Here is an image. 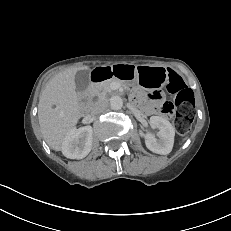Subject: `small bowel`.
I'll return each mask as SVG.
<instances>
[{
    "mask_svg": "<svg viewBox=\"0 0 231 231\" xmlns=\"http://www.w3.org/2000/svg\"><path fill=\"white\" fill-rule=\"evenodd\" d=\"M157 100L161 101V98L160 97H155Z\"/></svg>",
    "mask_w": 231,
    "mask_h": 231,
    "instance_id": "small-bowel-1",
    "label": "small bowel"
}]
</instances>
